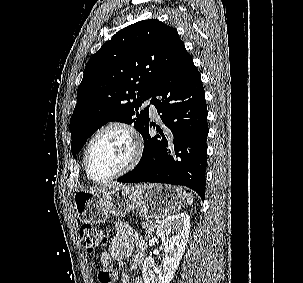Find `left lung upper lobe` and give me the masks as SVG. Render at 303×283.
Here are the masks:
<instances>
[{
  "label": "left lung upper lobe",
  "mask_w": 303,
  "mask_h": 283,
  "mask_svg": "<svg viewBox=\"0 0 303 283\" xmlns=\"http://www.w3.org/2000/svg\"><path fill=\"white\" fill-rule=\"evenodd\" d=\"M185 46L177 30L157 19L142 20L118 31L88 61L70 120L71 150L76 154L108 121L134 123L142 133L152 98Z\"/></svg>",
  "instance_id": "obj_1"
}]
</instances>
